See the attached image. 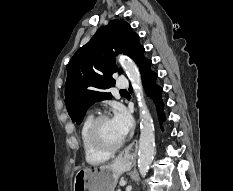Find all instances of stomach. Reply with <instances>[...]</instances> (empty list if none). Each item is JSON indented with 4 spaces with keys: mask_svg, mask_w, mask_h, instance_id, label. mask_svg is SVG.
I'll list each match as a JSON object with an SVG mask.
<instances>
[{
    "mask_svg": "<svg viewBox=\"0 0 233 191\" xmlns=\"http://www.w3.org/2000/svg\"><path fill=\"white\" fill-rule=\"evenodd\" d=\"M127 168L128 164L119 160L106 166L82 168L75 175L74 191H114Z\"/></svg>",
    "mask_w": 233,
    "mask_h": 191,
    "instance_id": "1",
    "label": "stomach"
}]
</instances>
